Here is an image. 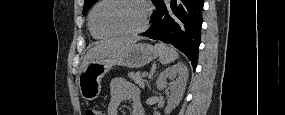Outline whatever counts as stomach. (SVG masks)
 Returning a JSON list of instances; mask_svg holds the SVG:
<instances>
[{"instance_id":"obj_1","label":"stomach","mask_w":285,"mask_h":115,"mask_svg":"<svg viewBox=\"0 0 285 115\" xmlns=\"http://www.w3.org/2000/svg\"><path fill=\"white\" fill-rule=\"evenodd\" d=\"M157 49L146 43H134L123 53L95 60L89 63L79 74L78 85L83 99L92 101L101 92V80L113 66L140 68L158 56Z\"/></svg>"}]
</instances>
